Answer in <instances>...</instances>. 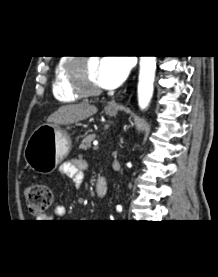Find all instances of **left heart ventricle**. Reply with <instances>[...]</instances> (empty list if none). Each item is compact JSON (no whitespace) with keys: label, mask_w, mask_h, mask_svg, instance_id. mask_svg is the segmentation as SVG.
I'll return each instance as SVG.
<instances>
[{"label":"left heart ventricle","mask_w":218,"mask_h":277,"mask_svg":"<svg viewBox=\"0 0 218 277\" xmlns=\"http://www.w3.org/2000/svg\"><path fill=\"white\" fill-rule=\"evenodd\" d=\"M86 72H87V81L91 86L99 87L98 80H97V71H98V61L91 60L87 62L86 65Z\"/></svg>","instance_id":"b2bd125f"}]
</instances>
